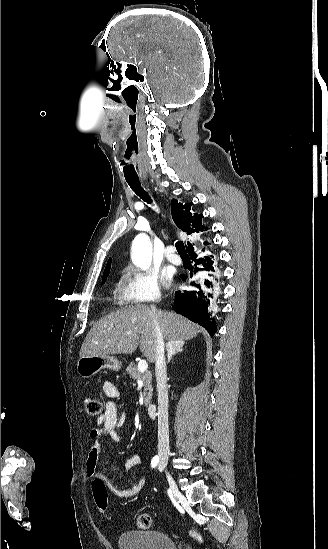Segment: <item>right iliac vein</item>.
Listing matches in <instances>:
<instances>
[{
  "instance_id": "right-iliac-vein-1",
  "label": "right iliac vein",
  "mask_w": 328,
  "mask_h": 549,
  "mask_svg": "<svg viewBox=\"0 0 328 549\" xmlns=\"http://www.w3.org/2000/svg\"><path fill=\"white\" fill-rule=\"evenodd\" d=\"M160 465L162 467V470L165 471V474H166V478H167V481L169 483V486H170V490L172 492V494L174 495V497L176 498V500L180 499L181 497V494L178 490V487H177V484L174 480V477L170 474V472L167 470V466H166V462L165 460L161 461L160 462Z\"/></svg>"
}]
</instances>
